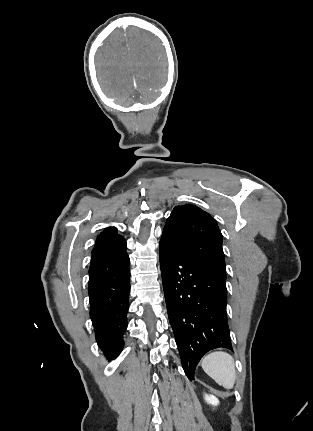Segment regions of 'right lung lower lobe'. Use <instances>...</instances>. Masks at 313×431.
<instances>
[{
	"label": "right lung lower lobe",
	"mask_w": 313,
	"mask_h": 431,
	"mask_svg": "<svg viewBox=\"0 0 313 431\" xmlns=\"http://www.w3.org/2000/svg\"><path fill=\"white\" fill-rule=\"evenodd\" d=\"M126 241L117 240L92 253L89 268L90 318L98 346L115 359L122 351L130 292Z\"/></svg>",
	"instance_id": "1"
}]
</instances>
